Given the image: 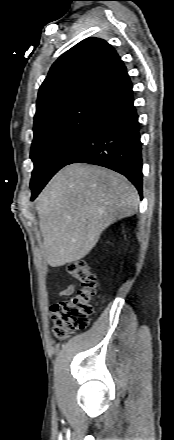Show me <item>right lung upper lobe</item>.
Listing matches in <instances>:
<instances>
[{
    "label": "right lung upper lobe",
    "instance_id": "right-lung-upper-lobe-1",
    "mask_svg": "<svg viewBox=\"0 0 174 440\" xmlns=\"http://www.w3.org/2000/svg\"><path fill=\"white\" fill-rule=\"evenodd\" d=\"M127 75L115 49L105 40L87 38L61 55L40 86L35 122L80 97L97 94Z\"/></svg>",
    "mask_w": 174,
    "mask_h": 440
}]
</instances>
